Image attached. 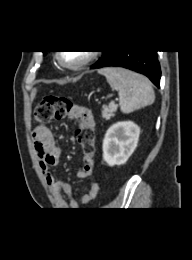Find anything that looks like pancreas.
<instances>
[{
	"instance_id": "pancreas-1",
	"label": "pancreas",
	"mask_w": 192,
	"mask_h": 260,
	"mask_svg": "<svg viewBox=\"0 0 192 260\" xmlns=\"http://www.w3.org/2000/svg\"><path fill=\"white\" fill-rule=\"evenodd\" d=\"M117 105L116 104H110L108 106H103L102 108V117L105 120H110L111 117L115 116V112L117 111Z\"/></svg>"
}]
</instances>
